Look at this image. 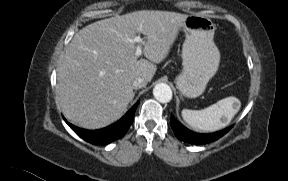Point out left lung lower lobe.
<instances>
[{
	"instance_id": "0a47b994",
	"label": "left lung lower lobe",
	"mask_w": 288,
	"mask_h": 181,
	"mask_svg": "<svg viewBox=\"0 0 288 181\" xmlns=\"http://www.w3.org/2000/svg\"><path fill=\"white\" fill-rule=\"evenodd\" d=\"M170 125L179 140L195 145H204L216 141L231 129V127H228L214 133L200 134L187 129L173 115H171Z\"/></svg>"
}]
</instances>
